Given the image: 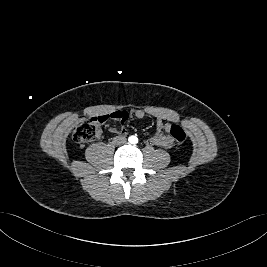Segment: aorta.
<instances>
[{"label":"aorta","mask_w":267,"mask_h":267,"mask_svg":"<svg viewBox=\"0 0 267 267\" xmlns=\"http://www.w3.org/2000/svg\"><path fill=\"white\" fill-rule=\"evenodd\" d=\"M129 142H130L131 144H136V143L138 142V139H137L136 136H130V137H129Z\"/></svg>","instance_id":"762f6f07"}]
</instances>
